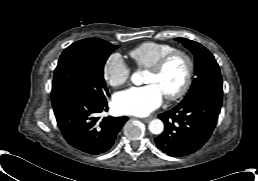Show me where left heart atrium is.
I'll return each mask as SVG.
<instances>
[{"mask_svg": "<svg viewBox=\"0 0 258 181\" xmlns=\"http://www.w3.org/2000/svg\"><path fill=\"white\" fill-rule=\"evenodd\" d=\"M163 94L155 84L131 87L115 95L114 107L122 114L145 116L161 105Z\"/></svg>", "mask_w": 258, "mask_h": 181, "instance_id": "1", "label": "left heart atrium"}]
</instances>
